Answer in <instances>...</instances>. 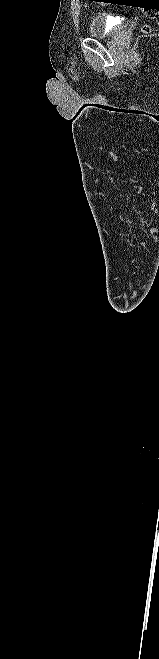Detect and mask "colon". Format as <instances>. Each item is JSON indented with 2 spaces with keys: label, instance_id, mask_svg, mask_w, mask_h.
<instances>
[{
  "label": "colon",
  "instance_id": "colon-1",
  "mask_svg": "<svg viewBox=\"0 0 159 659\" xmlns=\"http://www.w3.org/2000/svg\"><path fill=\"white\" fill-rule=\"evenodd\" d=\"M149 31H150L149 27H148V26H144V28H143V32H144V33H148Z\"/></svg>",
  "mask_w": 159,
  "mask_h": 659
}]
</instances>
